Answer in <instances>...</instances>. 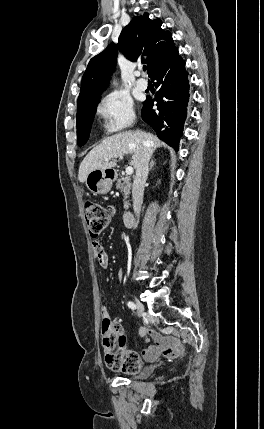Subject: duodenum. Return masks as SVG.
Listing matches in <instances>:
<instances>
[{"label":"duodenum","instance_id":"obj_1","mask_svg":"<svg viewBox=\"0 0 264 429\" xmlns=\"http://www.w3.org/2000/svg\"><path fill=\"white\" fill-rule=\"evenodd\" d=\"M136 218L131 212H126L123 215V222L126 227H132L135 225Z\"/></svg>","mask_w":264,"mask_h":429}]
</instances>
